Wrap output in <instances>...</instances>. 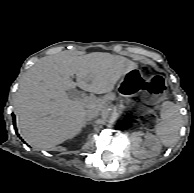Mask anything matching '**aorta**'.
<instances>
[{
	"label": "aorta",
	"instance_id": "aorta-1",
	"mask_svg": "<svg viewBox=\"0 0 194 193\" xmlns=\"http://www.w3.org/2000/svg\"><path fill=\"white\" fill-rule=\"evenodd\" d=\"M119 118V112L116 109H108L104 113V119L108 123H114L118 120Z\"/></svg>",
	"mask_w": 194,
	"mask_h": 193
}]
</instances>
